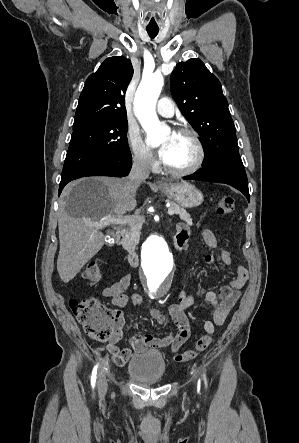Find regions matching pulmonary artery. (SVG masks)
Segmentation results:
<instances>
[{
	"label": "pulmonary artery",
	"mask_w": 299,
	"mask_h": 443,
	"mask_svg": "<svg viewBox=\"0 0 299 443\" xmlns=\"http://www.w3.org/2000/svg\"><path fill=\"white\" fill-rule=\"evenodd\" d=\"M157 112L164 117H172L175 113L174 102L167 97H162L157 103Z\"/></svg>",
	"instance_id": "1"
}]
</instances>
